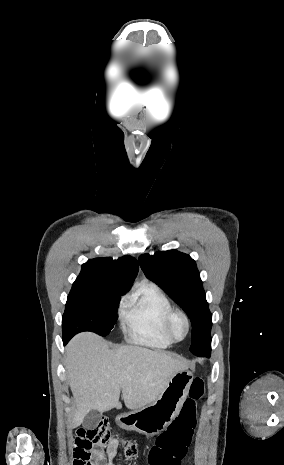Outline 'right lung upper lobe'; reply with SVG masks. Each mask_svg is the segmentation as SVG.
Listing matches in <instances>:
<instances>
[{
    "instance_id": "right-lung-upper-lobe-1",
    "label": "right lung upper lobe",
    "mask_w": 284,
    "mask_h": 465,
    "mask_svg": "<svg viewBox=\"0 0 284 465\" xmlns=\"http://www.w3.org/2000/svg\"><path fill=\"white\" fill-rule=\"evenodd\" d=\"M139 266L135 258L125 256L117 260L102 257L88 260L74 283H87L125 294L133 284Z\"/></svg>"
}]
</instances>
